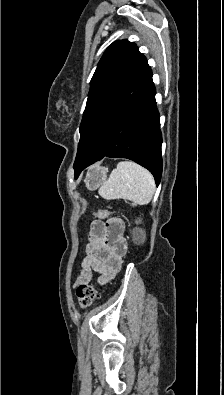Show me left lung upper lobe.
I'll return each instance as SVG.
<instances>
[{"mask_svg": "<svg viewBox=\"0 0 224 395\" xmlns=\"http://www.w3.org/2000/svg\"><path fill=\"white\" fill-rule=\"evenodd\" d=\"M147 60L128 40L112 43L100 59L91 80L90 91L80 125L76 162L81 159L99 113L142 70Z\"/></svg>", "mask_w": 224, "mask_h": 395, "instance_id": "obj_1", "label": "left lung upper lobe"}]
</instances>
